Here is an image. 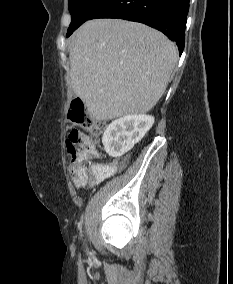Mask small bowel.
<instances>
[{
    "label": "small bowel",
    "instance_id": "1",
    "mask_svg": "<svg viewBox=\"0 0 233 284\" xmlns=\"http://www.w3.org/2000/svg\"><path fill=\"white\" fill-rule=\"evenodd\" d=\"M127 164L126 158L115 159L110 163H95L86 169V179L83 186L89 183H100L112 177Z\"/></svg>",
    "mask_w": 233,
    "mask_h": 284
}]
</instances>
